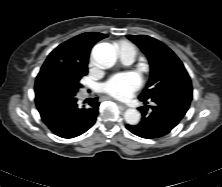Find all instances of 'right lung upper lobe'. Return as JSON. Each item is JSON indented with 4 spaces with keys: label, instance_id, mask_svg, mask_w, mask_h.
<instances>
[{
    "label": "right lung upper lobe",
    "instance_id": "obj_1",
    "mask_svg": "<svg viewBox=\"0 0 222 187\" xmlns=\"http://www.w3.org/2000/svg\"><path fill=\"white\" fill-rule=\"evenodd\" d=\"M106 34L86 32L75 36L55 48L46 59L43 67L59 66V62L87 65L90 50L95 43L106 38Z\"/></svg>",
    "mask_w": 222,
    "mask_h": 187
}]
</instances>
